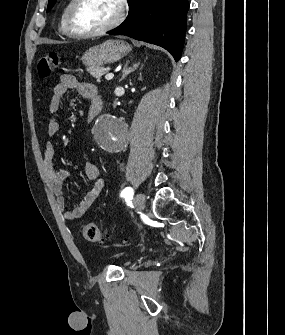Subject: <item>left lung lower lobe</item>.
<instances>
[{"mask_svg": "<svg viewBox=\"0 0 285 335\" xmlns=\"http://www.w3.org/2000/svg\"><path fill=\"white\" fill-rule=\"evenodd\" d=\"M126 20L110 35H126L159 45L175 61L181 57L186 32L188 0H128Z\"/></svg>", "mask_w": 285, "mask_h": 335, "instance_id": "0a47b994", "label": "left lung lower lobe"}]
</instances>
